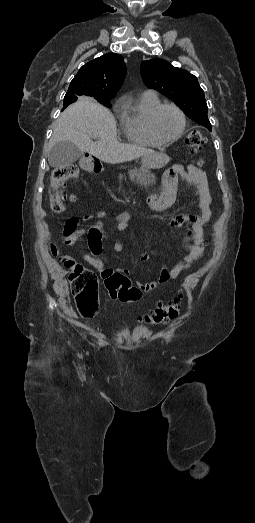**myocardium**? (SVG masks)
Instances as JSON below:
<instances>
[{
  "label": "myocardium",
  "mask_w": 255,
  "mask_h": 523,
  "mask_svg": "<svg viewBox=\"0 0 255 523\" xmlns=\"http://www.w3.org/2000/svg\"><path fill=\"white\" fill-rule=\"evenodd\" d=\"M166 107H171V108L175 109L181 118V128H180L178 134L169 139H165V138H162L161 136H159V134L157 133L156 128H155L156 117L158 116L159 112ZM186 123H187L186 115L179 106H177L176 104H173V103H161L157 107H155L153 109V111L151 112L149 121H148V126H149L151 135L156 140H158L160 143L167 144V143H172V142L177 141L183 135L185 128H186Z\"/></svg>",
  "instance_id": "1"
}]
</instances>
